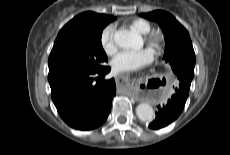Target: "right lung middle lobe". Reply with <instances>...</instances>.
<instances>
[{
  "label": "right lung middle lobe",
  "instance_id": "dd1d6c3e",
  "mask_svg": "<svg viewBox=\"0 0 230 155\" xmlns=\"http://www.w3.org/2000/svg\"><path fill=\"white\" fill-rule=\"evenodd\" d=\"M86 36L57 37L49 56V74L66 71H97L108 62L101 35L104 27Z\"/></svg>",
  "mask_w": 230,
  "mask_h": 155
}]
</instances>
